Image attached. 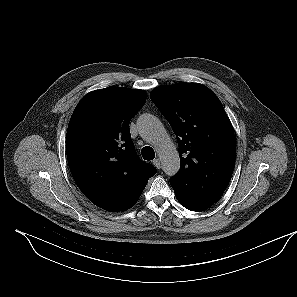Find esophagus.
I'll return each instance as SVG.
<instances>
[{
    "mask_svg": "<svg viewBox=\"0 0 297 297\" xmlns=\"http://www.w3.org/2000/svg\"><path fill=\"white\" fill-rule=\"evenodd\" d=\"M153 164L157 169L161 168V160L159 158L154 159Z\"/></svg>",
    "mask_w": 297,
    "mask_h": 297,
    "instance_id": "obj_1",
    "label": "esophagus"
}]
</instances>
